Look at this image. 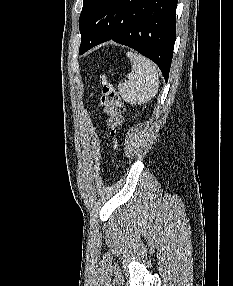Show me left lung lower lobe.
Returning <instances> with one entry per match:
<instances>
[{"mask_svg": "<svg viewBox=\"0 0 233 286\" xmlns=\"http://www.w3.org/2000/svg\"><path fill=\"white\" fill-rule=\"evenodd\" d=\"M177 0H96L81 31L79 54L108 40L154 61L167 82L176 39Z\"/></svg>", "mask_w": 233, "mask_h": 286, "instance_id": "0a47b994", "label": "left lung lower lobe"}]
</instances>
